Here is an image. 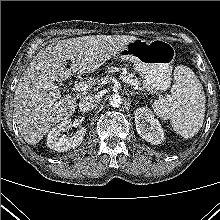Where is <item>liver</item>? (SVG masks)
<instances>
[{
  "label": "liver",
  "instance_id": "obj_1",
  "mask_svg": "<svg viewBox=\"0 0 220 220\" xmlns=\"http://www.w3.org/2000/svg\"><path fill=\"white\" fill-rule=\"evenodd\" d=\"M126 35H97L59 40L41 50L20 78L14 95V117L25 142L35 145L50 128L69 119L79 95L61 96L55 81L67 80L72 73H92L130 42ZM70 60V68L66 61Z\"/></svg>",
  "mask_w": 220,
  "mask_h": 220
}]
</instances>
